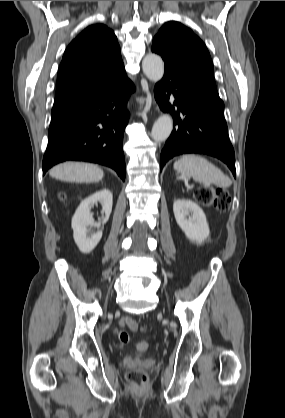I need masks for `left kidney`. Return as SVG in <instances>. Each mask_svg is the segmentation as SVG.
<instances>
[{"label": "left kidney", "instance_id": "left-kidney-1", "mask_svg": "<svg viewBox=\"0 0 285 418\" xmlns=\"http://www.w3.org/2000/svg\"><path fill=\"white\" fill-rule=\"evenodd\" d=\"M173 212L177 224L192 242L202 244L209 237L206 216L195 202L177 199L173 203ZM190 213L191 217L187 218Z\"/></svg>", "mask_w": 285, "mask_h": 418}]
</instances>
